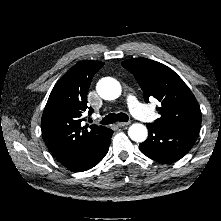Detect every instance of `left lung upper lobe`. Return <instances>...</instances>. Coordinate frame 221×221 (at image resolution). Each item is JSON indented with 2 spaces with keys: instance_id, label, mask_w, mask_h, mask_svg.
<instances>
[{
  "instance_id": "left-lung-upper-lobe-1",
  "label": "left lung upper lobe",
  "mask_w": 221,
  "mask_h": 221,
  "mask_svg": "<svg viewBox=\"0 0 221 221\" xmlns=\"http://www.w3.org/2000/svg\"><path fill=\"white\" fill-rule=\"evenodd\" d=\"M141 86L144 99L156 98L161 115L154 125L171 130H188L198 133L201 125L200 106L184 81L169 67L146 58L122 62Z\"/></svg>"
}]
</instances>
